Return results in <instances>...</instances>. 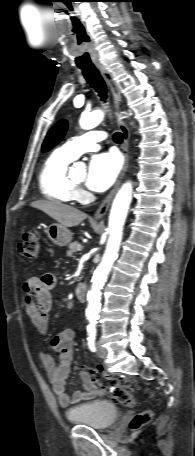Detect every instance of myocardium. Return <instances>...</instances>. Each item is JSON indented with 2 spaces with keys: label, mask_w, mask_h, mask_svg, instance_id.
I'll return each instance as SVG.
<instances>
[{
  "label": "myocardium",
  "mask_w": 195,
  "mask_h": 456,
  "mask_svg": "<svg viewBox=\"0 0 195 456\" xmlns=\"http://www.w3.org/2000/svg\"><path fill=\"white\" fill-rule=\"evenodd\" d=\"M71 182L74 186H77L79 184V183H76L74 180H71Z\"/></svg>",
  "instance_id": "obj_1"
}]
</instances>
